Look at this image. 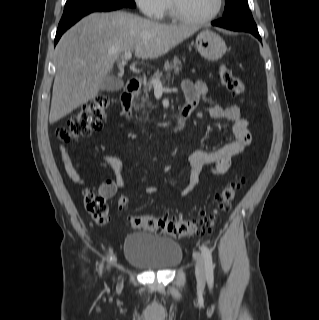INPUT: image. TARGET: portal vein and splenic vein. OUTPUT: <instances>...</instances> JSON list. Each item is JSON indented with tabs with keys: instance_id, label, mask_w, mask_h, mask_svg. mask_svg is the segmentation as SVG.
I'll return each instance as SVG.
<instances>
[{
	"instance_id": "18ae733b",
	"label": "portal vein and splenic vein",
	"mask_w": 319,
	"mask_h": 320,
	"mask_svg": "<svg viewBox=\"0 0 319 320\" xmlns=\"http://www.w3.org/2000/svg\"><path fill=\"white\" fill-rule=\"evenodd\" d=\"M131 56H132L131 51L125 52V54H124V60H125V61L130 60V59H131ZM152 83H153L154 89H156V90H162V89H163V85H162V83H161L160 80H153Z\"/></svg>"
}]
</instances>
